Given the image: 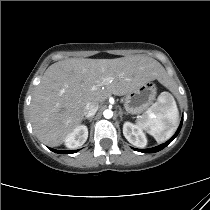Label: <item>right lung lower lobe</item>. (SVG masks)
Returning a JSON list of instances; mask_svg holds the SVG:
<instances>
[{
    "instance_id": "98d812e1",
    "label": "right lung lower lobe",
    "mask_w": 210,
    "mask_h": 210,
    "mask_svg": "<svg viewBox=\"0 0 210 210\" xmlns=\"http://www.w3.org/2000/svg\"><path fill=\"white\" fill-rule=\"evenodd\" d=\"M53 152H56V153H61V154H71V153H75L77 152V150H74V151H59V150H55V149H51Z\"/></svg>"
}]
</instances>
